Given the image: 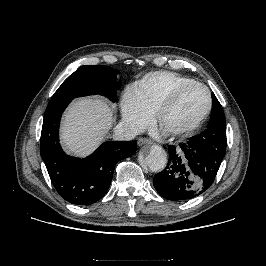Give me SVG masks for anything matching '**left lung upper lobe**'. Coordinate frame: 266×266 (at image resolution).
Wrapping results in <instances>:
<instances>
[{"label":"left lung upper lobe","instance_id":"1","mask_svg":"<svg viewBox=\"0 0 266 266\" xmlns=\"http://www.w3.org/2000/svg\"><path fill=\"white\" fill-rule=\"evenodd\" d=\"M189 141L211 154H225L226 128L224 111L214 93H212V110L208 128L201 134L191 137Z\"/></svg>","mask_w":266,"mask_h":266}]
</instances>
